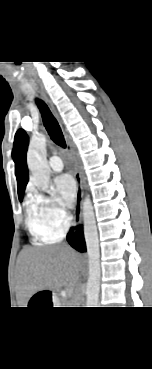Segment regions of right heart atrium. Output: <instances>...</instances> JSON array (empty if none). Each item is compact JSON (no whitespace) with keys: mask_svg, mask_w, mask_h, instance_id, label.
Returning a JSON list of instances; mask_svg holds the SVG:
<instances>
[{"mask_svg":"<svg viewBox=\"0 0 152 369\" xmlns=\"http://www.w3.org/2000/svg\"><path fill=\"white\" fill-rule=\"evenodd\" d=\"M31 201L50 232L57 235L63 234L69 223L70 216L59 200L55 197L34 193Z\"/></svg>","mask_w":152,"mask_h":369,"instance_id":"d8ad5b80","label":"right heart atrium"}]
</instances>
